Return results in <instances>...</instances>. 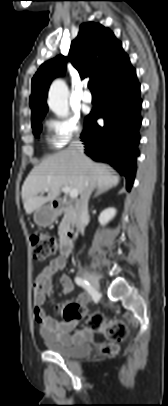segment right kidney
I'll list each match as a JSON object with an SVG mask.
<instances>
[{
	"label": "right kidney",
	"mask_w": 168,
	"mask_h": 406,
	"mask_svg": "<svg viewBox=\"0 0 168 406\" xmlns=\"http://www.w3.org/2000/svg\"><path fill=\"white\" fill-rule=\"evenodd\" d=\"M116 215V209L115 208H107L103 210L99 216V223L101 225H106L110 220L114 218Z\"/></svg>",
	"instance_id": "1"
}]
</instances>
